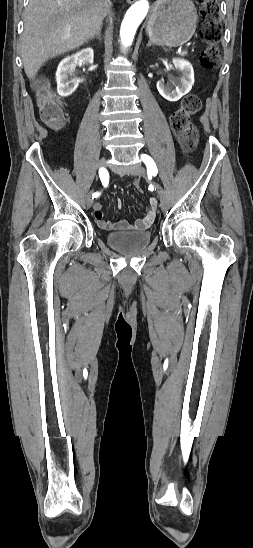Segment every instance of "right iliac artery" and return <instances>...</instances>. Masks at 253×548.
<instances>
[{
	"mask_svg": "<svg viewBox=\"0 0 253 548\" xmlns=\"http://www.w3.org/2000/svg\"><path fill=\"white\" fill-rule=\"evenodd\" d=\"M99 176H100V179H101V182L104 186H107L108 184V172L105 168H100L99 169ZM100 194L99 193H93L92 194V199H94L95 197H98Z\"/></svg>",
	"mask_w": 253,
	"mask_h": 548,
	"instance_id": "1",
	"label": "right iliac artery"
}]
</instances>
